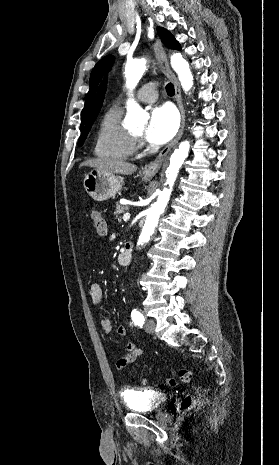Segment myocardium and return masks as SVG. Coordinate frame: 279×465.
Instances as JSON below:
<instances>
[{
    "mask_svg": "<svg viewBox=\"0 0 279 465\" xmlns=\"http://www.w3.org/2000/svg\"><path fill=\"white\" fill-rule=\"evenodd\" d=\"M131 136H132L135 147L140 148L143 146V141H142L141 136L136 135L135 133H131Z\"/></svg>",
    "mask_w": 279,
    "mask_h": 465,
    "instance_id": "obj_1",
    "label": "myocardium"
}]
</instances>
